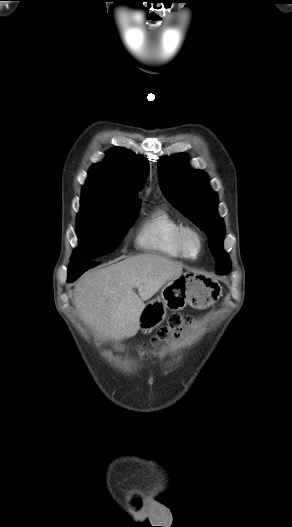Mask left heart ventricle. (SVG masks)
<instances>
[{
  "instance_id": "obj_1",
  "label": "left heart ventricle",
  "mask_w": 292,
  "mask_h": 527,
  "mask_svg": "<svg viewBox=\"0 0 292 527\" xmlns=\"http://www.w3.org/2000/svg\"><path fill=\"white\" fill-rule=\"evenodd\" d=\"M187 249L189 253L195 254L198 249V242L195 237L190 236L187 240Z\"/></svg>"
}]
</instances>
